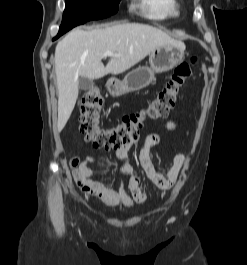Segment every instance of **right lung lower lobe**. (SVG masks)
<instances>
[{"instance_id": "right-lung-lower-lobe-1", "label": "right lung lower lobe", "mask_w": 247, "mask_h": 265, "mask_svg": "<svg viewBox=\"0 0 247 265\" xmlns=\"http://www.w3.org/2000/svg\"><path fill=\"white\" fill-rule=\"evenodd\" d=\"M86 21H88V20H74V21H71V22H62V24L60 26V29H59V32H58L57 36L53 38V40H56L61 35H63L67 31L72 29L73 27H75V26H77V25H79L81 23H84Z\"/></svg>"}]
</instances>
